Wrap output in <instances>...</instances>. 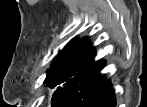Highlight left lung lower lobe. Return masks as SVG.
Masks as SVG:
<instances>
[{"mask_svg":"<svg viewBox=\"0 0 147 107\" xmlns=\"http://www.w3.org/2000/svg\"><path fill=\"white\" fill-rule=\"evenodd\" d=\"M93 54L59 96L52 99L53 107H116V96L110 80L102 76L103 60Z\"/></svg>","mask_w":147,"mask_h":107,"instance_id":"0a47b994","label":"left lung lower lobe"}]
</instances>
